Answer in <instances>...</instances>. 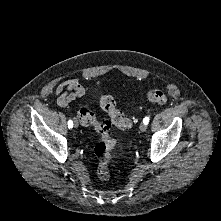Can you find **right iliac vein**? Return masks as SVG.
Masks as SVG:
<instances>
[{
    "label": "right iliac vein",
    "instance_id": "right-iliac-vein-1",
    "mask_svg": "<svg viewBox=\"0 0 221 221\" xmlns=\"http://www.w3.org/2000/svg\"><path fill=\"white\" fill-rule=\"evenodd\" d=\"M74 126L78 127V122L76 120H74Z\"/></svg>",
    "mask_w": 221,
    "mask_h": 221
}]
</instances>
